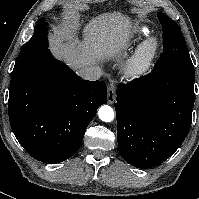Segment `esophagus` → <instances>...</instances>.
Segmentation results:
<instances>
[{"label": "esophagus", "mask_w": 199, "mask_h": 199, "mask_svg": "<svg viewBox=\"0 0 199 199\" xmlns=\"http://www.w3.org/2000/svg\"><path fill=\"white\" fill-rule=\"evenodd\" d=\"M107 101L109 104H113L115 102V84L113 82H111L108 87Z\"/></svg>", "instance_id": "34e87169"}]
</instances>
